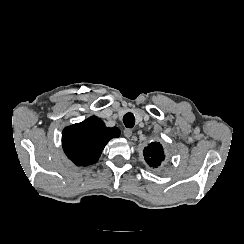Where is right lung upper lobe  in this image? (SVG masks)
Returning <instances> with one entry per match:
<instances>
[{"label": "right lung upper lobe", "mask_w": 244, "mask_h": 244, "mask_svg": "<svg viewBox=\"0 0 244 244\" xmlns=\"http://www.w3.org/2000/svg\"><path fill=\"white\" fill-rule=\"evenodd\" d=\"M118 128H108L96 116L66 127L62 145L68 158L78 166H88L98 161L109 140L119 137Z\"/></svg>", "instance_id": "1"}]
</instances>
